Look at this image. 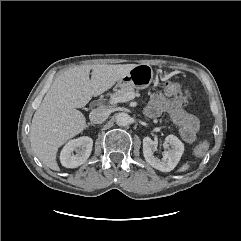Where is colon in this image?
Listing matches in <instances>:
<instances>
[{
	"label": "colon",
	"mask_w": 241,
	"mask_h": 241,
	"mask_svg": "<svg viewBox=\"0 0 241 241\" xmlns=\"http://www.w3.org/2000/svg\"><path fill=\"white\" fill-rule=\"evenodd\" d=\"M164 94L169 97H174L185 102V98L181 87L175 82H168L164 86ZM208 145L206 143H200L195 147L194 153L198 157H202L207 153Z\"/></svg>",
	"instance_id": "colon-1"
}]
</instances>
